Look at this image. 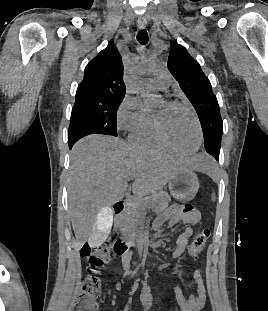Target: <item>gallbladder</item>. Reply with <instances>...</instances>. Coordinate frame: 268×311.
<instances>
[{"label":"gallbladder","mask_w":268,"mask_h":311,"mask_svg":"<svg viewBox=\"0 0 268 311\" xmlns=\"http://www.w3.org/2000/svg\"><path fill=\"white\" fill-rule=\"evenodd\" d=\"M111 204L105 205L103 209L98 210V216H96V221L92 227V232H90L89 244L93 249L98 246H103V239L107 238V234H111L112 226V210Z\"/></svg>","instance_id":"obj_1"}]
</instances>
